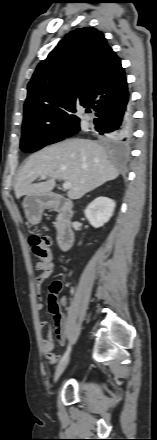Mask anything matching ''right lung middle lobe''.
Here are the masks:
<instances>
[{"mask_svg":"<svg viewBox=\"0 0 157 440\" xmlns=\"http://www.w3.org/2000/svg\"><path fill=\"white\" fill-rule=\"evenodd\" d=\"M79 131V124L33 121L23 125L20 148L24 152H35L48 144L61 141ZM107 142H114L110 137H103Z\"/></svg>","mask_w":157,"mask_h":440,"instance_id":"right-lung-middle-lobe-1","label":"right lung middle lobe"}]
</instances>
